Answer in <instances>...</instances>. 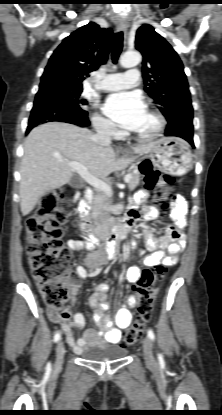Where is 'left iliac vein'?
I'll return each mask as SVG.
<instances>
[{
  "instance_id": "obj_1",
  "label": "left iliac vein",
  "mask_w": 222,
  "mask_h": 415,
  "mask_svg": "<svg viewBox=\"0 0 222 415\" xmlns=\"http://www.w3.org/2000/svg\"><path fill=\"white\" fill-rule=\"evenodd\" d=\"M143 353L145 361L148 365L154 363V356H153V345L151 339L149 337H145L143 340Z\"/></svg>"
}]
</instances>
